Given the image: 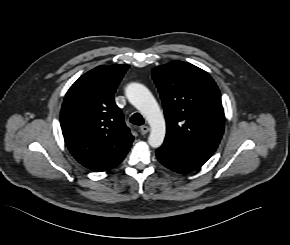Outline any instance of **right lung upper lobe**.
Listing matches in <instances>:
<instances>
[{
    "instance_id": "1",
    "label": "right lung upper lobe",
    "mask_w": 290,
    "mask_h": 245,
    "mask_svg": "<svg viewBox=\"0 0 290 245\" xmlns=\"http://www.w3.org/2000/svg\"><path fill=\"white\" fill-rule=\"evenodd\" d=\"M129 65L98 66L68 90L61 109V128L74 158L102 172L117 166L134 140L114 102L116 88Z\"/></svg>"
}]
</instances>
